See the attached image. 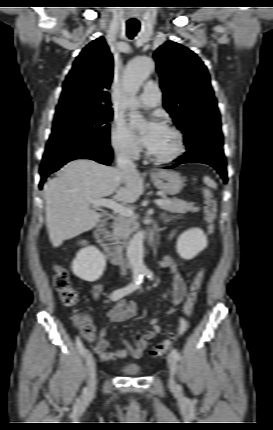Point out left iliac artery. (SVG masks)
I'll use <instances>...</instances> for the list:
<instances>
[{
  "label": "left iliac artery",
  "instance_id": "1",
  "mask_svg": "<svg viewBox=\"0 0 273 430\" xmlns=\"http://www.w3.org/2000/svg\"><path fill=\"white\" fill-rule=\"evenodd\" d=\"M143 275H145L147 278H149V279H153V272L152 271H150L149 269H146V270H144L143 271ZM179 320H182V317H179ZM180 333H185V331H186V324H185V322H180ZM171 353L173 354V356L175 357V359L176 360H179L180 359V354H179V352H178V350L176 349V348H174V349H172V351H171Z\"/></svg>",
  "mask_w": 273,
  "mask_h": 430
}]
</instances>
